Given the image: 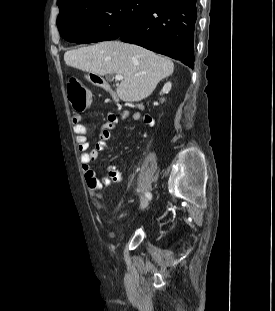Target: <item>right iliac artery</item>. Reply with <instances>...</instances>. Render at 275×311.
<instances>
[{"mask_svg":"<svg viewBox=\"0 0 275 311\" xmlns=\"http://www.w3.org/2000/svg\"><path fill=\"white\" fill-rule=\"evenodd\" d=\"M145 197L148 198V199L150 200L152 196H151V194H150L149 192H146V193H145Z\"/></svg>","mask_w":275,"mask_h":311,"instance_id":"obj_1","label":"right iliac artery"}]
</instances>
